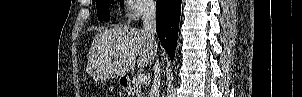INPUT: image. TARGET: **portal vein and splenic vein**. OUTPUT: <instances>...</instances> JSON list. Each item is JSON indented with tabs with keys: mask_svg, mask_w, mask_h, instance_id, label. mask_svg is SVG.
<instances>
[{
	"mask_svg": "<svg viewBox=\"0 0 302 97\" xmlns=\"http://www.w3.org/2000/svg\"><path fill=\"white\" fill-rule=\"evenodd\" d=\"M146 82H147V77H146L145 74H139V75L137 76V83H138L139 85H143V84H145Z\"/></svg>",
	"mask_w": 302,
	"mask_h": 97,
	"instance_id": "1",
	"label": "portal vein and splenic vein"
}]
</instances>
